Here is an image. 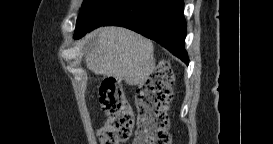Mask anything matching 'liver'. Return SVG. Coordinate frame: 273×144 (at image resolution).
Listing matches in <instances>:
<instances>
[{
	"label": "liver",
	"instance_id": "1",
	"mask_svg": "<svg viewBox=\"0 0 273 144\" xmlns=\"http://www.w3.org/2000/svg\"><path fill=\"white\" fill-rule=\"evenodd\" d=\"M94 35L95 45L85 56L96 74L142 86L155 69L154 47L150 40L123 27H103Z\"/></svg>",
	"mask_w": 273,
	"mask_h": 144
}]
</instances>
